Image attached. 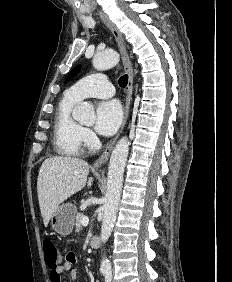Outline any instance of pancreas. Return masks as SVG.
<instances>
[{
	"label": "pancreas",
	"mask_w": 232,
	"mask_h": 282,
	"mask_svg": "<svg viewBox=\"0 0 232 282\" xmlns=\"http://www.w3.org/2000/svg\"><path fill=\"white\" fill-rule=\"evenodd\" d=\"M85 215L83 213H77L75 216V228L76 231L79 232L82 228L81 220Z\"/></svg>",
	"instance_id": "1"
}]
</instances>
